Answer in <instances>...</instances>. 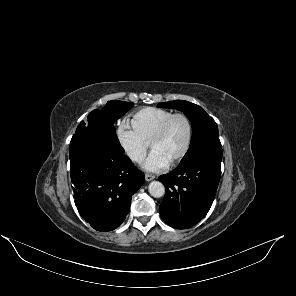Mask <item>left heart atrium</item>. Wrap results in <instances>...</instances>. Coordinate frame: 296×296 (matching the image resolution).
<instances>
[{"instance_id": "1", "label": "left heart atrium", "mask_w": 296, "mask_h": 296, "mask_svg": "<svg viewBox=\"0 0 296 296\" xmlns=\"http://www.w3.org/2000/svg\"><path fill=\"white\" fill-rule=\"evenodd\" d=\"M170 163L158 152L153 151L144 164V169L157 172L165 169Z\"/></svg>"}]
</instances>
